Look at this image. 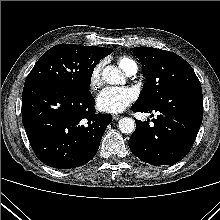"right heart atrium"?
Listing matches in <instances>:
<instances>
[{"mask_svg": "<svg viewBox=\"0 0 220 220\" xmlns=\"http://www.w3.org/2000/svg\"><path fill=\"white\" fill-rule=\"evenodd\" d=\"M103 64V61L98 62L90 72L89 84L93 90H97L102 85Z\"/></svg>", "mask_w": 220, "mask_h": 220, "instance_id": "right-heart-atrium-1", "label": "right heart atrium"}]
</instances>
